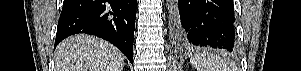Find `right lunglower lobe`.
Segmentation results:
<instances>
[{"mask_svg": "<svg viewBox=\"0 0 301 71\" xmlns=\"http://www.w3.org/2000/svg\"><path fill=\"white\" fill-rule=\"evenodd\" d=\"M136 0H64L55 46L64 38L87 33L115 45L133 64Z\"/></svg>", "mask_w": 301, "mask_h": 71, "instance_id": "obj_1", "label": "right lung lower lobe"}]
</instances>
